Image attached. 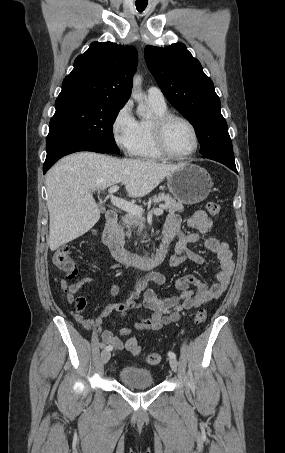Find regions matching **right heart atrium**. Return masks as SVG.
Segmentation results:
<instances>
[{
    "instance_id": "d8ad5b80",
    "label": "right heart atrium",
    "mask_w": 285,
    "mask_h": 453,
    "mask_svg": "<svg viewBox=\"0 0 285 453\" xmlns=\"http://www.w3.org/2000/svg\"><path fill=\"white\" fill-rule=\"evenodd\" d=\"M136 122L131 105L126 103L118 110L111 124L115 144L128 155L132 154L133 150Z\"/></svg>"
}]
</instances>
